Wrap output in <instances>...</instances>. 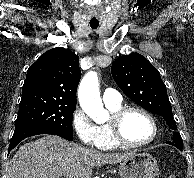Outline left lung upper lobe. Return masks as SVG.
Returning <instances> with one entry per match:
<instances>
[{
	"label": "left lung upper lobe",
	"instance_id": "1",
	"mask_svg": "<svg viewBox=\"0 0 194 178\" xmlns=\"http://www.w3.org/2000/svg\"><path fill=\"white\" fill-rule=\"evenodd\" d=\"M120 89L136 104L161 116L172 130H177L166 86L159 71L138 53L118 57L111 67Z\"/></svg>",
	"mask_w": 194,
	"mask_h": 178
}]
</instances>
